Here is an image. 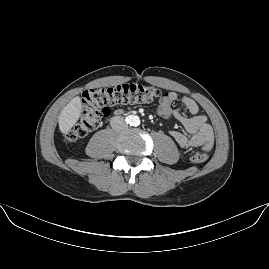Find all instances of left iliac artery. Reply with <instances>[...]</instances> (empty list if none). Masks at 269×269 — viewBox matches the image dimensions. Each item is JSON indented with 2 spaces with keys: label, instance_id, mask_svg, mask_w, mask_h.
I'll list each match as a JSON object with an SVG mask.
<instances>
[{
  "label": "left iliac artery",
  "instance_id": "obj_1",
  "mask_svg": "<svg viewBox=\"0 0 269 269\" xmlns=\"http://www.w3.org/2000/svg\"><path fill=\"white\" fill-rule=\"evenodd\" d=\"M140 124V120L138 118L134 119L133 125L138 126Z\"/></svg>",
  "mask_w": 269,
  "mask_h": 269
}]
</instances>
